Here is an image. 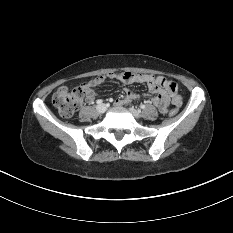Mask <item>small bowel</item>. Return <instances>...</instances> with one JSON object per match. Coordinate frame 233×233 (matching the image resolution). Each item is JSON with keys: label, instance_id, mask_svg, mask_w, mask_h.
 I'll return each instance as SVG.
<instances>
[{"label": "small bowel", "instance_id": "small-bowel-1", "mask_svg": "<svg viewBox=\"0 0 233 233\" xmlns=\"http://www.w3.org/2000/svg\"><path fill=\"white\" fill-rule=\"evenodd\" d=\"M107 78L114 79L124 84H146L149 91L154 94L152 104L158 108L161 113H166L169 110L170 102L179 107L181 105V98L178 95L179 85L175 80H168L163 76H154L149 74H137L130 72L123 73H108L106 75H100L86 85V101L92 103L96 97L95 88L102 85ZM124 96L116 100L117 106H123L138 99V95L131 89L126 88L124 90Z\"/></svg>", "mask_w": 233, "mask_h": 233}]
</instances>
